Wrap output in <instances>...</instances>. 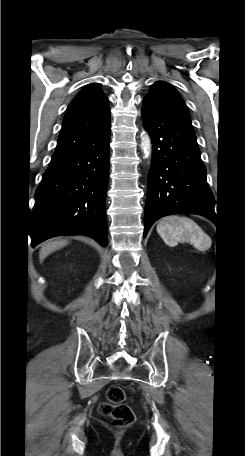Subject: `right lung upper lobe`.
Returning a JSON list of instances; mask_svg holds the SVG:
<instances>
[{
	"label": "right lung upper lobe",
	"mask_w": 245,
	"mask_h": 456,
	"mask_svg": "<svg viewBox=\"0 0 245 456\" xmlns=\"http://www.w3.org/2000/svg\"><path fill=\"white\" fill-rule=\"evenodd\" d=\"M109 124L108 98L97 83H91L68 106L52 157L87 147Z\"/></svg>",
	"instance_id": "1"
}]
</instances>
